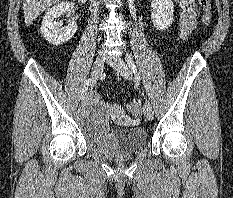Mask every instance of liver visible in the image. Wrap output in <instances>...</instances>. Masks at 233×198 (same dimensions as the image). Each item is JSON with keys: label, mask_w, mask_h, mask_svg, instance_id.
I'll use <instances>...</instances> for the list:
<instances>
[{"label": "liver", "mask_w": 233, "mask_h": 198, "mask_svg": "<svg viewBox=\"0 0 233 198\" xmlns=\"http://www.w3.org/2000/svg\"><path fill=\"white\" fill-rule=\"evenodd\" d=\"M60 1L61 0H23L26 26L29 27L41 13Z\"/></svg>", "instance_id": "obj_1"}]
</instances>
